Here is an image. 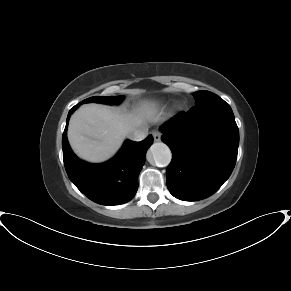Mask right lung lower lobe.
Here are the masks:
<instances>
[{
  "label": "right lung lower lobe",
  "instance_id": "1",
  "mask_svg": "<svg viewBox=\"0 0 291 291\" xmlns=\"http://www.w3.org/2000/svg\"><path fill=\"white\" fill-rule=\"evenodd\" d=\"M70 109L62 136L63 160L72 183L90 200L101 205H119L130 201L138 189V175L145 163L146 152L153 143L149 135L141 142L126 140L120 151L103 164H89L72 152L67 140Z\"/></svg>",
  "mask_w": 291,
  "mask_h": 291
}]
</instances>
